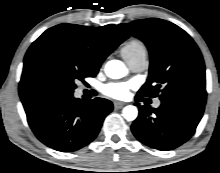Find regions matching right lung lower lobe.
Wrapping results in <instances>:
<instances>
[{
  "instance_id": "obj_1",
  "label": "right lung lower lobe",
  "mask_w": 220,
  "mask_h": 173,
  "mask_svg": "<svg viewBox=\"0 0 220 173\" xmlns=\"http://www.w3.org/2000/svg\"><path fill=\"white\" fill-rule=\"evenodd\" d=\"M21 100L36 137L61 152L76 151L93 141L113 109L107 99L83 103L72 93L45 91Z\"/></svg>"
}]
</instances>
